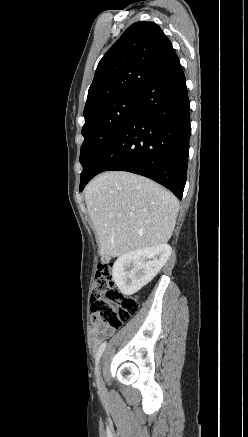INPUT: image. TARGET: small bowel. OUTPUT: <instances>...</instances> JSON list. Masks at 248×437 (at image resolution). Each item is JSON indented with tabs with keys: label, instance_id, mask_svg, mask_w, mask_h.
Returning <instances> with one entry per match:
<instances>
[{
	"label": "small bowel",
	"instance_id": "small-bowel-1",
	"mask_svg": "<svg viewBox=\"0 0 248 437\" xmlns=\"http://www.w3.org/2000/svg\"><path fill=\"white\" fill-rule=\"evenodd\" d=\"M113 333V329L106 326H95L91 329V342L93 348H96L101 341L111 335Z\"/></svg>",
	"mask_w": 248,
	"mask_h": 437
}]
</instances>
